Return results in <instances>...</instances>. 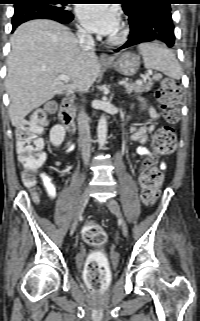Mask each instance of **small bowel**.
Wrapping results in <instances>:
<instances>
[{
	"mask_svg": "<svg viewBox=\"0 0 200 321\" xmlns=\"http://www.w3.org/2000/svg\"><path fill=\"white\" fill-rule=\"evenodd\" d=\"M145 109H146V106L144 103H142L141 104V111H143ZM148 112H149V115L152 119L157 118V112L154 108H152V107L148 108ZM130 118H131V116L128 115L126 118V121H128ZM153 128H154L153 124H144L138 128L131 129V136H130L131 140L140 143V145L137 148V152L140 155L146 156L149 158H153L154 155L143 144L145 143V141L147 139L148 133H150L153 130ZM71 150H72V147H68L66 149V152L69 153ZM160 167H161V169H165V163L162 162ZM41 181L44 185V188L46 190L48 197L50 199H54L56 196V189H55L54 180H53L52 176L47 175V174H42Z\"/></svg>",
	"mask_w": 200,
	"mask_h": 321,
	"instance_id": "small-bowel-1",
	"label": "small bowel"
}]
</instances>
